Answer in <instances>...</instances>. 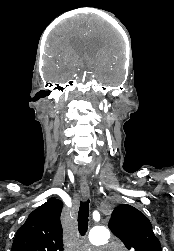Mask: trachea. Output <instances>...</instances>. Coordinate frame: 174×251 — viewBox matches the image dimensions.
I'll list each match as a JSON object with an SVG mask.
<instances>
[{
    "label": "trachea",
    "instance_id": "obj_1",
    "mask_svg": "<svg viewBox=\"0 0 174 251\" xmlns=\"http://www.w3.org/2000/svg\"><path fill=\"white\" fill-rule=\"evenodd\" d=\"M88 217H89V200L80 202L78 212V230L82 236H84L88 229Z\"/></svg>",
    "mask_w": 174,
    "mask_h": 251
}]
</instances>
